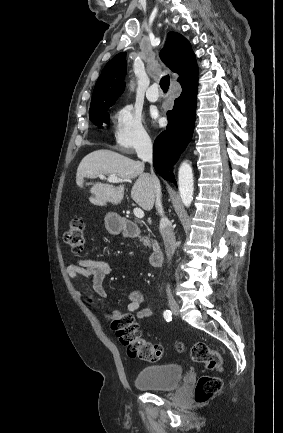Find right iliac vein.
I'll return each mask as SVG.
<instances>
[{
    "mask_svg": "<svg viewBox=\"0 0 283 433\" xmlns=\"http://www.w3.org/2000/svg\"><path fill=\"white\" fill-rule=\"evenodd\" d=\"M168 304H169V307H170L172 313H173L174 315L178 316V315H179L180 308H179L178 303L175 301V299H173V298H169V299H168Z\"/></svg>",
    "mask_w": 283,
    "mask_h": 433,
    "instance_id": "obj_1",
    "label": "right iliac vein"
}]
</instances>
